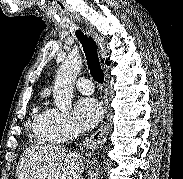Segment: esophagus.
<instances>
[{
    "label": "esophagus",
    "mask_w": 183,
    "mask_h": 179,
    "mask_svg": "<svg viewBox=\"0 0 183 179\" xmlns=\"http://www.w3.org/2000/svg\"><path fill=\"white\" fill-rule=\"evenodd\" d=\"M89 32L95 38V40L98 44V47H99L100 54L104 55L103 40L92 29H90ZM111 126H112V111H111L110 107L108 106V100H106L105 116L101 120L100 128L90 138L86 139V141L84 142V145L86 146V148L92 149V148H97L99 146H102L108 137Z\"/></svg>",
    "instance_id": "1"
}]
</instances>
